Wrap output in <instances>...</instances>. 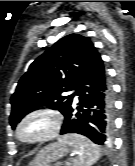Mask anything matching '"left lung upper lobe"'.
Instances as JSON below:
<instances>
[{"label": "left lung upper lobe", "instance_id": "5c2ea615", "mask_svg": "<svg viewBox=\"0 0 135 166\" xmlns=\"http://www.w3.org/2000/svg\"><path fill=\"white\" fill-rule=\"evenodd\" d=\"M98 54L88 37L70 34L48 48L30 66L19 80L11 97L10 123H16L32 110L41 106L62 114L71 105L81 75Z\"/></svg>", "mask_w": 135, "mask_h": 166}]
</instances>
